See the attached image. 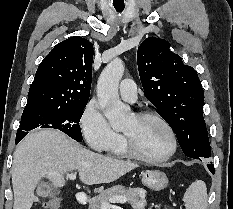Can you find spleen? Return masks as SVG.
<instances>
[{"instance_id":"1","label":"spleen","mask_w":233,"mask_h":209,"mask_svg":"<svg viewBox=\"0 0 233 209\" xmlns=\"http://www.w3.org/2000/svg\"><path fill=\"white\" fill-rule=\"evenodd\" d=\"M207 198L205 182L197 180L186 190L183 201L186 209H207Z\"/></svg>"}]
</instances>
